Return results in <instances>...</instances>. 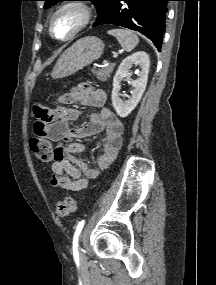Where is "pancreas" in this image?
<instances>
[{
  "instance_id": "obj_1",
  "label": "pancreas",
  "mask_w": 216,
  "mask_h": 285,
  "mask_svg": "<svg viewBox=\"0 0 216 285\" xmlns=\"http://www.w3.org/2000/svg\"><path fill=\"white\" fill-rule=\"evenodd\" d=\"M115 67V63L110 64L102 69L99 70H93V74L96 76V78L102 82L107 81L108 78H110V75Z\"/></svg>"
}]
</instances>
